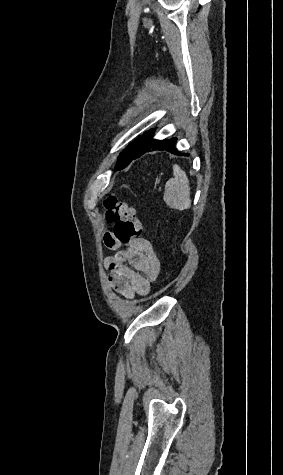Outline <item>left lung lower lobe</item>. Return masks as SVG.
<instances>
[{
    "instance_id": "obj_1",
    "label": "left lung lower lobe",
    "mask_w": 283,
    "mask_h": 475,
    "mask_svg": "<svg viewBox=\"0 0 283 475\" xmlns=\"http://www.w3.org/2000/svg\"><path fill=\"white\" fill-rule=\"evenodd\" d=\"M154 130H149L143 134V136L138 137L134 142L127 146V148L119 155V159L115 166V170L124 169L132 160L140 158L147 152L154 150L168 151L174 154L187 155L184 153H179L177 151L176 138L168 140H156L152 139Z\"/></svg>"
}]
</instances>
